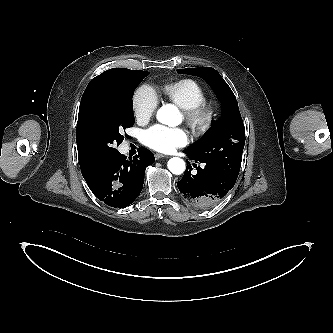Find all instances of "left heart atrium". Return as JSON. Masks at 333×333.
Here are the masks:
<instances>
[{
	"mask_svg": "<svg viewBox=\"0 0 333 333\" xmlns=\"http://www.w3.org/2000/svg\"><path fill=\"white\" fill-rule=\"evenodd\" d=\"M143 142L153 150L169 153L188 143V136L181 128L154 125L143 133Z\"/></svg>",
	"mask_w": 333,
	"mask_h": 333,
	"instance_id": "obj_1",
	"label": "left heart atrium"
}]
</instances>
